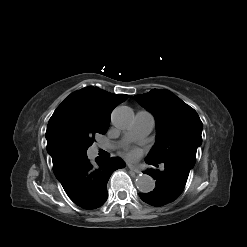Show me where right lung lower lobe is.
Wrapping results in <instances>:
<instances>
[{
  "mask_svg": "<svg viewBox=\"0 0 247 247\" xmlns=\"http://www.w3.org/2000/svg\"><path fill=\"white\" fill-rule=\"evenodd\" d=\"M92 164L86 157L63 158L53 164V171L69 198L84 209H96L107 199V182L113 171L124 168L117 157L96 158Z\"/></svg>",
  "mask_w": 247,
  "mask_h": 247,
  "instance_id": "obj_1",
  "label": "right lung lower lobe"
}]
</instances>
